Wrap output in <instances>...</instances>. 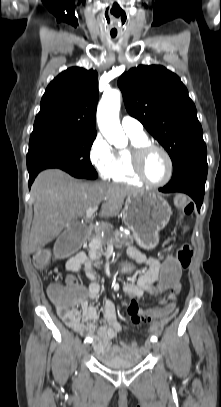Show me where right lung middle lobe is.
I'll use <instances>...</instances> for the list:
<instances>
[{"instance_id":"1","label":"right lung middle lobe","mask_w":221,"mask_h":407,"mask_svg":"<svg viewBox=\"0 0 221 407\" xmlns=\"http://www.w3.org/2000/svg\"><path fill=\"white\" fill-rule=\"evenodd\" d=\"M96 134L68 129H41L31 133L27 169L44 166L60 168L72 176L95 179L97 173L90 162V149Z\"/></svg>"}]
</instances>
